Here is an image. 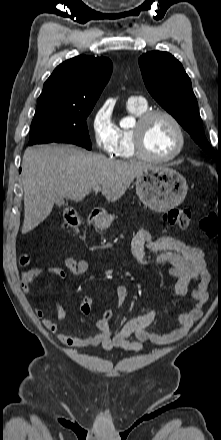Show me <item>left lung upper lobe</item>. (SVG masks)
<instances>
[{
	"mask_svg": "<svg viewBox=\"0 0 221 440\" xmlns=\"http://www.w3.org/2000/svg\"><path fill=\"white\" fill-rule=\"evenodd\" d=\"M138 62L144 83L152 97L215 159V151L203 131L191 80L182 64L170 53L162 51L145 53Z\"/></svg>",
	"mask_w": 221,
	"mask_h": 440,
	"instance_id": "left-lung-upper-lobe-1",
	"label": "left lung upper lobe"
}]
</instances>
